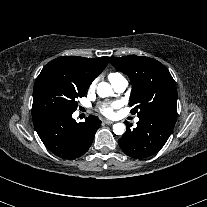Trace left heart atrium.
<instances>
[{"label": "left heart atrium", "mask_w": 207, "mask_h": 207, "mask_svg": "<svg viewBox=\"0 0 207 207\" xmlns=\"http://www.w3.org/2000/svg\"><path fill=\"white\" fill-rule=\"evenodd\" d=\"M117 107H118V105L116 103H113L110 106L103 107L102 109H100V111L102 114H104L106 116H111L113 114V110Z\"/></svg>", "instance_id": "left-heart-atrium-1"}]
</instances>
